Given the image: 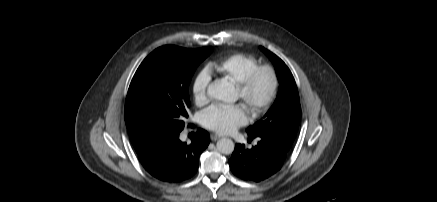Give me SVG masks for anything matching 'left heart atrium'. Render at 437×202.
<instances>
[{"instance_id": "obj_1", "label": "left heart atrium", "mask_w": 437, "mask_h": 202, "mask_svg": "<svg viewBox=\"0 0 437 202\" xmlns=\"http://www.w3.org/2000/svg\"><path fill=\"white\" fill-rule=\"evenodd\" d=\"M247 110L243 104L216 105L202 115L203 125L219 134H229L247 122Z\"/></svg>"}]
</instances>
